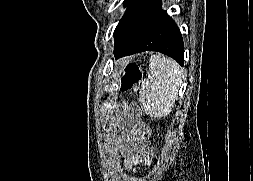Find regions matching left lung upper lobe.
Returning <instances> with one entry per match:
<instances>
[{"label": "left lung upper lobe", "instance_id": "1", "mask_svg": "<svg viewBox=\"0 0 253 181\" xmlns=\"http://www.w3.org/2000/svg\"><path fill=\"white\" fill-rule=\"evenodd\" d=\"M132 1H133V0H125V1H124V5H125V6H128Z\"/></svg>", "mask_w": 253, "mask_h": 181}]
</instances>
